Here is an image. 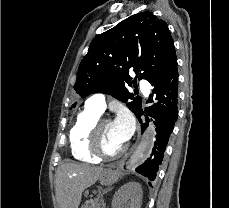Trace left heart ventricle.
Here are the masks:
<instances>
[{"instance_id":"1","label":"left heart ventricle","mask_w":229,"mask_h":208,"mask_svg":"<svg viewBox=\"0 0 229 208\" xmlns=\"http://www.w3.org/2000/svg\"><path fill=\"white\" fill-rule=\"evenodd\" d=\"M100 132L104 138L101 139L102 152H116L125 145V141L119 138L112 123L103 124Z\"/></svg>"}]
</instances>
